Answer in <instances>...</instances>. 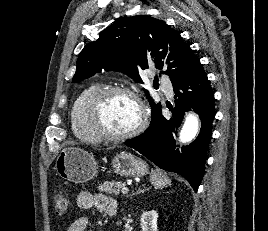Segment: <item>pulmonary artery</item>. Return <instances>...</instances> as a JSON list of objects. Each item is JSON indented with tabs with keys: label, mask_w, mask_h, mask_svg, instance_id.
<instances>
[{
	"label": "pulmonary artery",
	"mask_w": 268,
	"mask_h": 231,
	"mask_svg": "<svg viewBox=\"0 0 268 231\" xmlns=\"http://www.w3.org/2000/svg\"><path fill=\"white\" fill-rule=\"evenodd\" d=\"M162 91L169 97H173V87L170 83H163L162 84Z\"/></svg>",
	"instance_id": "e3ab8cb5"
}]
</instances>
